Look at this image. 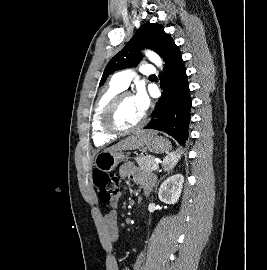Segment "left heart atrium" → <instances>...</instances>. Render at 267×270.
I'll use <instances>...</instances> for the list:
<instances>
[{
    "mask_svg": "<svg viewBox=\"0 0 267 270\" xmlns=\"http://www.w3.org/2000/svg\"><path fill=\"white\" fill-rule=\"evenodd\" d=\"M137 107L142 113H145V111L148 109L150 104L149 96L146 92V90L140 86L138 87L136 94L133 97Z\"/></svg>",
    "mask_w": 267,
    "mask_h": 270,
    "instance_id": "obj_1",
    "label": "left heart atrium"
}]
</instances>
